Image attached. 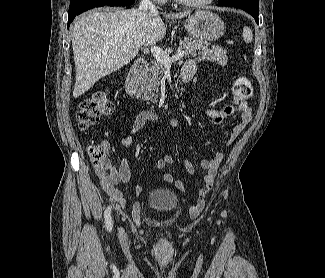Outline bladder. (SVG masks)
Masks as SVG:
<instances>
[{"label":"bladder","instance_id":"obj_1","mask_svg":"<svg viewBox=\"0 0 325 278\" xmlns=\"http://www.w3.org/2000/svg\"><path fill=\"white\" fill-rule=\"evenodd\" d=\"M178 201L179 199L175 192L162 187L151 190L147 197L148 206L161 213H169L175 210Z\"/></svg>","mask_w":325,"mask_h":278}]
</instances>
